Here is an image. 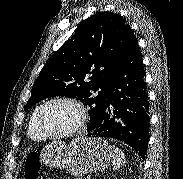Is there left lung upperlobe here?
<instances>
[{
  "instance_id": "obj_1",
  "label": "left lung upper lobe",
  "mask_w": 183,
  "mask_h": 179,
  "mask_svg": "<svg viewBox=\"0 0 183 179\" xmlns=\"http://www.w3.org/2000/svg\"><path fill=\"white\" fill-rule=\"evenodd\" d=\"M130 30L120 15L111 12H96L84 20L48 59L24 110L52 96L76 98L90 108L89 127L105 105L109 82ZM99 89L95 96L92 91Z\"/></svg>"
}]
</instances>
